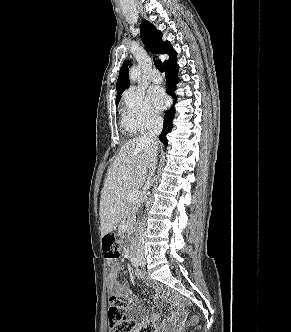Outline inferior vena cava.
Returning <instances> with one entry per match:
<instances>
[{
	"label": "inferior vena cava",
	"mask_w": 291,
	"mask_h": 332,
	"mask_svg": "<svg viewBox=\"0 0 291 332\" xmlns=\"http://www.w3.org/2000/svg\"><path fill=\"white\" fill-rule=\"evenodd\" d=\"M163 129V119L160 117H154L150 126L148 127V131L140 138L141 142L146 146L149 151L150 156V164H149V176L147 181L145 182V186L143 188L144 192H146L152 185L151 177L154 175L156 164H157V140L159 134ZM145 202H147V196H145ZM144 223L139 230V239H138V253L143 255L144 253Z\"/></svg>",
	"instance_id": "obj_1"
}]
</instances>
